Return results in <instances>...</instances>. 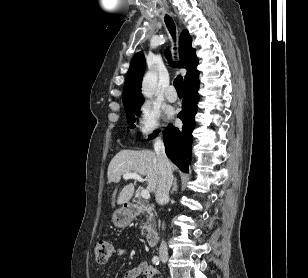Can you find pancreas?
Wrapping results in <instances>:
<instances>
[{"mask_svg":"<svg viewBox=\"0 0 308 278\" xmlns=\"http://www.w3.org/2000/svg\"><path fill=\"white\" fill-rule=\"evenodd\" d=\"M138 205H141L140 203ZM156 222H155V217L152 212L148 213L145 217V220L142 221V234L143 232L150 231L153 227H155Z\"/></svg>","mask_w":308,"mask_h":278,"instance_id":"1","label":"pancreas"}]
</instances>
